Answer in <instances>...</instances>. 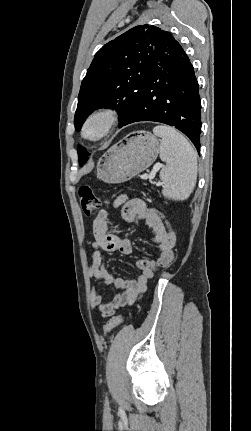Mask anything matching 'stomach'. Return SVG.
Segmentation results:
<instances>
[{
    "instance_id": "stomach-1",
    "label": "stomach",
    "mask_w": 251,
    "mask_h": 431,
    "mask_svg": "<svg viewBox=\"0 0 251 431\" xmlns=\"http://www.w3.org/2000/svg\"><path fill=\"white\" fill-rule=\"evenodd\" d=\"M158 139L148 131H135L107 150L97 165V177L109 184L123 183L156 160Z\"/></svg>"
}]
</instances>
